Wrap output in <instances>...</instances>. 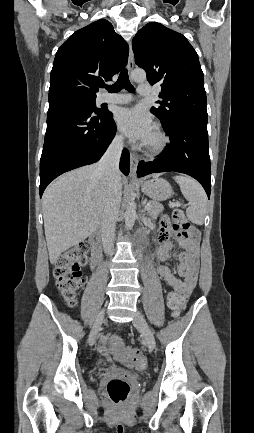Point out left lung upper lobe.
I'll list each match as a JSON object with an SVG mask.
<instances>
[{"label":"left lung upper lobe","instance_id":"1","mask_svg":"<svg viewBox=\"0 0 254 433\" xmlns=\"http://www.w3.org/2000/svg\"><path fill=\"white\" fill-rule=\"evenodd\" d=\"M136 64L151 85L159 84L162 101L151 112L168 129L185 119L207 122L206 92L198 55L188 40L160 23L150 22L132 41Z\"/></svg>","mask_w":254,"mask_h":433}]
</instances>
